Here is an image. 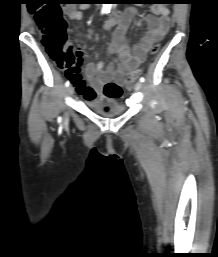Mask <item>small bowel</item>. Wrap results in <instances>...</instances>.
Segmentation results:
<instances>
[{
    "label": "small bowel",
    "mask_w": 218,
    "mask_h": 257,
    "mask_svg": "<svg viewBox=\"0 0 218 257\" xmlns=\"http://www.w3.org/2000/svg\"><path fill=\"white\" fill-rule=\"evenodd\" d=\"M80 9L76 6H68L65 8L66 16L69 20L79 21L82 18ZM169 15L168 7L157 5L152 9V14L139 18L137 25L145 27L146 33L132 49L128 46L125 35L132 22L137 18V8L130 7L118 18L109 19L105 28H114L109 52L117 54L118 58H113V62L108 66L103 61L89 62L83 76L80 74L78 78L70 77L76 92L85 100H93L102 96V89H104L102 83L117 82L123 86L124 77L139 67L153 45L163 39L168 32ZM92 33L90 30V34Z\"/></svg>",
    "instance_id": "obj_1"
}]
</instances>
